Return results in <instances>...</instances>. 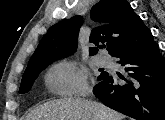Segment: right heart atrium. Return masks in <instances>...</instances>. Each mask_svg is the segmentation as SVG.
<instances>
[{"label": "right heart atrium", "mask_w": 165, "mask_h": 120, "mask_svg": "<svg viewBox=\"0 0 165 120\" xmlns=\"http://www.w3.org/2000/svg\"><path fill=\"white\" fill-rule=\"evenodd\" d=\"M48 88L56 93L85 95L89 91L86 72L73 61L54 65L47 73Z\"/></svg>", "instance_id": "right-heart-atrium-1"}]
</instances>
